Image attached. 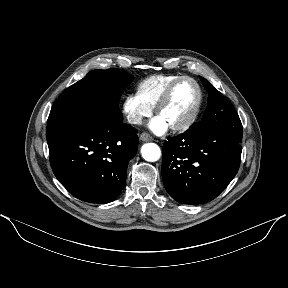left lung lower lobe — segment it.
<instances>
[{"instance_id": "1", "label": "left lung lower lobe", "mask_w": 288, "mask_h": 288, "mask_svg": "<svg viewBox=\"0 0 288 288\" xmlns=\"http://www.w3.org/2000/svg\"><path fill=\"white\" fill-rule=\"evenodd\" d=\"M162 179L166 191L182 204L216 198L240 166L241 141L208 128L188 129L163 144Z\"/></svg>"}]
</instances>
